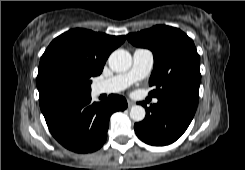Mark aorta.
I'll return each mask as SVG.
<instances>
[{"instance_id":"1","label":"aorta","mask_w":245,"mask_h":170,"mask_svg":"<svg viewBox=\"0 0 245 170\" xmlns=\"http://www.w3.org/2000/svg\"><path fill=\"white\" fill-rule=\"evenodd\" d=\"M109 67L115 72H125L132 65L131 54L124 49H117L111 53L108 59ZM144 107L134 105L130 110V118L135 122H140L145 118Z\"/></svg>"}]
</instances>
